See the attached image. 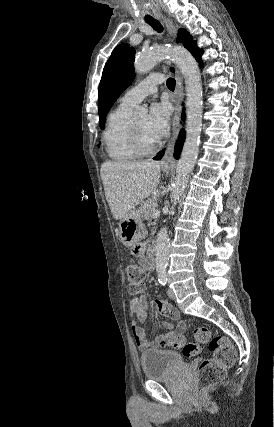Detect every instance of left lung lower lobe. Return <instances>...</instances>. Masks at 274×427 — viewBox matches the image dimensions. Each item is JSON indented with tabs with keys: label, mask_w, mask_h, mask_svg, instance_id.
<instances>
[{
	"label": "left lung lower lobe",
	"mask_w": 274,
	"mask_h": 427,
	"mask_svg": "<svg viewBox=\"0 0 274 427\" xmlns=\"http://www.w3.org/2000/svg\"><path fill=\"white\" fill-rule=\"evenodd\" d=\"M190 52H191V54L196 58V60H197V61H199V62H200V64H201V63H202V60H201V53H202V51H201V50H199L197 46H195V47H193V48L190 50ZM182 117H183V119H185V114H184V113H183V116H182ZM184 140H185V131L182 129V130H181V132H180V134H179V137H178L177 143H176V145H175V153H174V157H175L176 159H177V158H179L180 152H181L182 147H183ZM163 155H164V150H163V151H161L157 156H155V157H154V159H155V160H158V159H160Z\"/></svg>",
	"instance_id": "obj_1"
}]
</instances>
